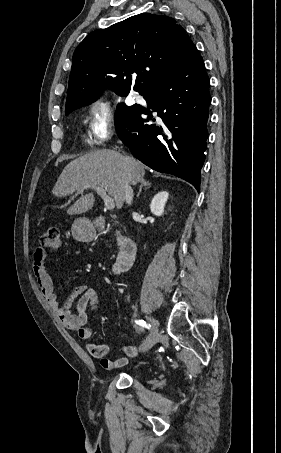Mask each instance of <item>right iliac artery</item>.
I'll return each instance as SVG.
<instances>
[{
  "label": "right iliac artery",
  "mask_w": 281,
  "mask_h": 453,
  "mask_svg": "<svg viewBox=\"0 0 281 453\" xmlns=\"http://www.w3.org/2000/svg\"><path fill=\"white\" fill-rule=\"evenodd\" d=\"M135 322H136V324H138V325H140V326H143V327H146V328H148V329L151 327V325H150V324L147 325L146 322H145L144 320H139V321H135Z\"/></svg>",
  "instance_id": "82829eb1"
}]
</instances>
